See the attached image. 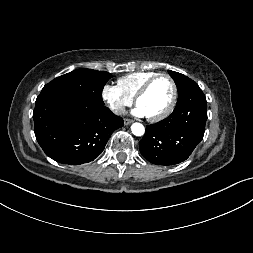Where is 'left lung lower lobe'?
<instances>
[{"label":"left lung lower lobe","mask_w":253,"mask_h":253,"mask_svg":"<svg viewBox=\"0 0 253 253\" xmlns=\"http://www.w3.org/2000/svg\"><path fill=\"white\" fill-rule=\"evenodd\" d=\"M207 101L198 84L180 98L166 119L146 126L139 142L141 154L157 165H174L186 160L203 139Z\"/></svg>","instance_id":"0a47b994"}]
</instances>
